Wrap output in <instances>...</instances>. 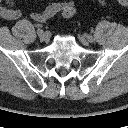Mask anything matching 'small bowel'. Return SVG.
<instances>
[{"instance_id": "small-bowel-1", "label": "small bowel", "mask_w": 128, "mask_h": 128, "mask_svg": "<svg viewBox=\"0 0 128 128\" xmlns=\"http://www.w3.org/2000/svg\"><path fill=\"white\" fill-rule=\"evenodd\" d=\"M66 5H74V3L72 1L52 2L48 4L44 10L40 12H32L30 14V17L33 21L37 23H42L54 17L56 14L60 13ZM0 16L5 19L14 20V19H18L21 16V12L20 10L10 9L3 6L0 0Z\"/></svg>"}]
</instances>
